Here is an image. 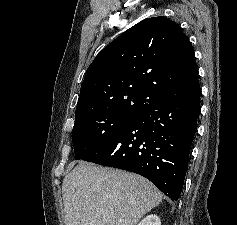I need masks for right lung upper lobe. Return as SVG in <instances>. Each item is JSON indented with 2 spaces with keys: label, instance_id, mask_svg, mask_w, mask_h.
I'll list each match as a JSON object with an SVG mask.
<instances>
[{
  "label": "right lung upper lobe",
  "instance_id": "right-lung-upper-lobe-1",
  "mask_svg": "<svg viewBox=\"0 0 237 225\" xmlns=\"http://www.w3.org/2000/svg\"><path fill=\"white\" fill-rule=\"evenodd\" d=\"M195 53L178 24L147 18L102 49L81 85L75 121L101 114H136L170 93L199 84Z\"/></svg>",
  "mask_w": 237,
  "mask_h": 225
}]
</instances>
